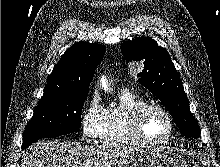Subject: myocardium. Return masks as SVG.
Instances as JSON below:
<instances>
[{
	"label": "myocardium",
	"instance_id": "myocardium-1",
	"mask_svg": "<svg viewBox=\"0 0 220 167\" xmlns=\"http://www.w3.org/2000/svg\"><path fill=\"white\" fill-rule=\"evenodd\" d=\"M152 109L161 112L165 116V118L168 121L169 128H170L168 135L159 140L148 139L143 134V131H142V121L146 113ZM130 129H131L132 135L136 138V140L140 144H144L148 146H158V145H163L167 143L174 136L175 123H174V120L171 114L162 105L157 104V103H145L143 105H140L133 111L131 115V119H130Z\"/></svg>",
	"mask_w": 220,
	"mask_h": 167
}]
</instances>
